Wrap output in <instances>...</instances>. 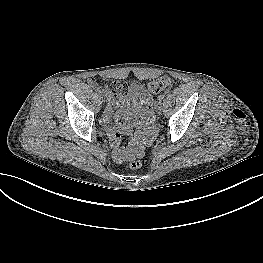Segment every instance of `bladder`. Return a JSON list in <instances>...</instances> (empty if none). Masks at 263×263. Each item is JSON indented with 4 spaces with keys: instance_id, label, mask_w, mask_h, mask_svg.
Masks as SVG:
<instances>
[{
    "instance_id": "1",
    "label": "bladder",
    "mask_w": 263,
    "mask_h": 263,
    "mask_svg": "<svg viewBox=\"0 0 263 263\" xmlns=\"http://www.w3.org/2000/svg\"><path fill=\"white\" fill-rule=\"evenodd\" d=\"M144 105L140 103L139 98L135 94H131L127 103L121 110V113L128 118H135L138 113L142 112Z\"/></svg>"
}]
</instances>
